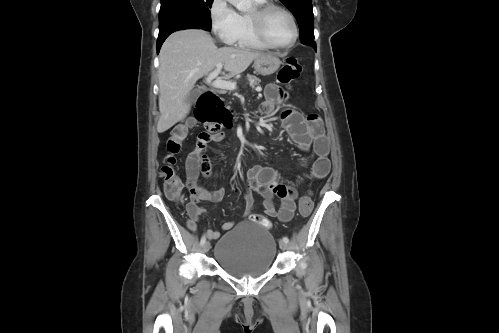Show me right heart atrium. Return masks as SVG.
<instances>
[{
    "label": "right heart atrium",
    "instance_id": "d8ad5b80",
    "mask_svg": "<svg viewBox=\"0 0 499 333\" xmlns=\"http://www.w3.org/2000/svg\"><path fill=\"white\" fill-rule=\"evenodd\" d=\"M210 27L222 43L232 44L239 29V14L228 0H212L209 7Z\"/></svg>",
    "mask_w": 499,
    "mask_h": 333
}]
</instances>
